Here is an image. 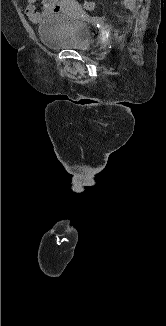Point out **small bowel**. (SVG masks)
<instances>
[{"label":"small bowel","mask_w":166,"mask_h":326,"mask_svg":"<svg viewBox=\"0 0 166 326\" xmlns=\"http://www.w3.org/2000/svg\"><path fill=\"white\" fill-rule=\"evenodd\" d=\"M38 0H27L25 14L33 22H38L45 16L59 11L68 12L71 10L69 0H41L42 9L37 10Z\"/></svg>","instance_id":"c3829d8e"}]
</instances>
